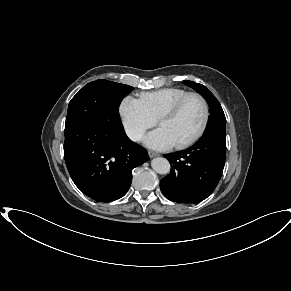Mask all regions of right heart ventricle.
Instances as JSON below:
<instances>
[{
	"label": "right heart ventricle",
	"instance_id": "obj_1",
	"mask_svg": "<svg viewBox=\"0 0 291 291\" xmlns=\"http://www.w3.org/2000/svg\"><path fill=\"white\" fill-rule=\"evenodd\" d=\"M188 93L187 90L181 88H163L142 93L140 101L148 114L156 120L163 112Z\"/></svg>",
	"mask_w": 291,
	"mask_h": 291
}]
</instances>
